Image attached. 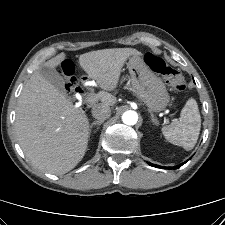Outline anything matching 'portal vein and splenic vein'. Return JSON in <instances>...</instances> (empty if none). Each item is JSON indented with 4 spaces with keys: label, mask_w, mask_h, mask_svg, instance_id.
<instances>
[{
    "label": "portal vein and splenic vein",
    "mask_w": 225,
    "mask_h": 225,
    "mask_svg": "<svg viewBox=\"0 0 225 225\" xmlns=\"http://www.w3.org/2000/svg\"><path fill=\"white\" fill-rule=\"evenodd\" d=\"M87 101L91 102L92 101L91 97H87Z\"/></svg>",
    "instance_id": "18ae733b"
}]
</instances>
